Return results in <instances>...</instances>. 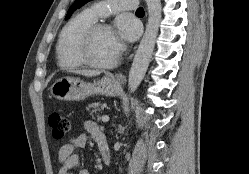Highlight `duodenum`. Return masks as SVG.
Masks as SVG:
<instances>
[{"instance_id":"410a0bca","label":"duodenum","mask_w":249,"mask_h":174,"mask_svg":"<svg viewBox=\"0 0 249 174\" xmlns=\"http://www.w3.org/2000/svg\"><path fill=\"white\" fill-rule=\"evenodd\" d=\"M99 149H100V153H101L102 160H103L104 164L110 165L111 164V153H110V150L108 147V143H107V145L100 143Z\"/></svg>"}]
</instances>
